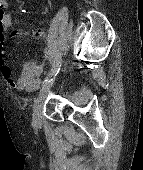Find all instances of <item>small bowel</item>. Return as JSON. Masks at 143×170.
Here are the masks:
<instances>
[{
  "label": "small bowel",
  "mask_w": 143,
  "mask_h": 170,
  "mask_svg": "<svg viewBox=\"0 0 143 170\" xmlns=\"http://www.w3.org/2000/svg\"><path fill=\"white\" fill-rule=\"evenodd\" d=\"M17 22L10 14L0 16V71L12 88L19 91L31 92L36 90L40 85L43 64L35 60L27 61L23 65L19 77L15 79L11 68L3 57L2 45L8 37L40 36L41 33L39 30H18L9 36L7 34L8 29L16 25Z\"/></svg>",
  "instance_id": "obj_1"
}]
</instances>
